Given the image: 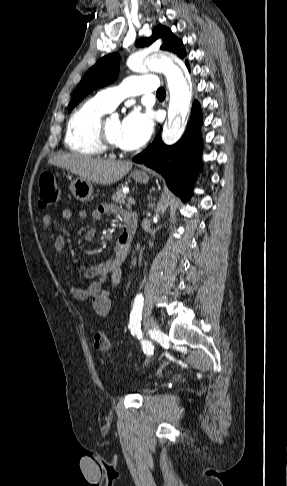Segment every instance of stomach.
I'll return each instance as SVG.
<instances>
[{"instance_id":"1","label":"stomach","mask_w":287,"mask_h":486,"mask_svg":"<svg viewBox=\"0 0 287 486\" xmlns=\"http://www.w3.org/2000/svg\"><path fill=\"white\" fill-rule=\"evenodd\" d=\"M131 176L133 179L138 182V183H148L149 181V176L142 171H134L132 172ZM70 191L73 194V196L81 201V202H87L90 200L92 194H93V183L92 181L85 180L82 178H77L74 179L71 184H70Z\"/></svg>"}]
</instances>
